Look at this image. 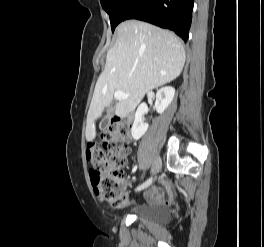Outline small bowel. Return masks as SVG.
<instances>
[{"label": "small bowel", "instance_id": "1", "mask_svg": "<svg viewBox=\"0 0 264 247\" xmlns=\"http://www.w3.org/2000/svg\"><path fill=\"white\" fill-rule=\"evenodd\" d=\"M145 199L151 203L169 202L171 200V196H165L163 189L160 187H152L147 191Z\"/></svg>", "mask_w": 264, "mask_h": 247}]
</instances>
